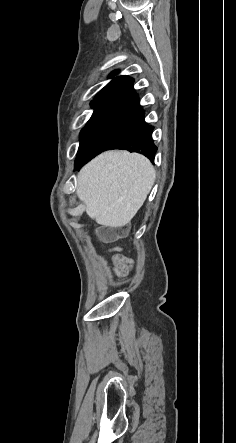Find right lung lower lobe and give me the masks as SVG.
I'll list each match as a JSON object with an SVG mask.
<instances>
[{
	"label": "right lung lower lobe",
	"mask_w": 236,
	"mask_h": 443,
	"mask_svg": "<svg viewBox=\"0 0 236 443\" xmlns=\"http://www.w3.org/2000/svg\"><path fill=\"white\" fill-rule=\"evenodd\" d=\"M152 131L133 87L108 98L81 131L75 170L108 149L138 152L154 161Z\"/></svg>",
	"instance_id": "1"
}]
</instances>
